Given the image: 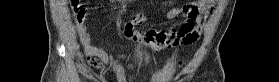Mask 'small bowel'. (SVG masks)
<instances>
[{"label": "small bowel", "instance_id": "small-bowel-1", "mask_svg": "<svg viewBox=\"0 0 279 82\" xmlns=\"http://www.w3.org/2000/svg\"><path fill=\"white\" fill-rule=\"evenodd\" d=\"M69 5L75 11L74 21L79 40L87 57L93 60L90 62L92 67L104 72L103 64L115 65L127 58L126 54H114L92 45L85 24L86 14L84 9L79 2L69 1ZM214 8V4L206 1L188 2L182 6L172 8L167 14L168 20H173L181 15L186 16L187 20L182 25H174L169 29L143 28L136 30L133 22H126L123 26V32L127 39L147 45L153 52L179 45H189L197 40L206 19ZM139 25L144 26L142 16L139 18Z\"/></svg>", "mask_w": 279, "mask_h": 82}]
</instances>
